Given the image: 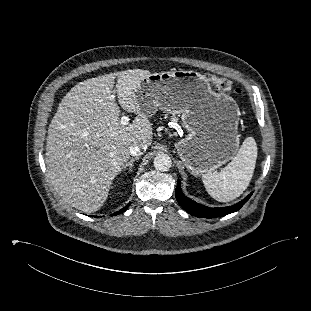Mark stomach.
<instances>
[{
  "label": "stomach",
  "mask_w": 311,
  "mask_h": 311,
  "mask_svg": "<svg viewBox=\"0 0 311 311\" xmlns=\"http://www.w3.org/2000/svg\"><path fill=\"white\" fill-rule=\"evenodd\" d=\"M135 95L148 117L158 109L181 114L188 135L176 149L193 175L212 173L237 154L239 107L232 97L215 93L202 74L184 70L153 73L142 80Z\"/></svg>",
  "instance_id": "obj_1"
}]
</instances>
